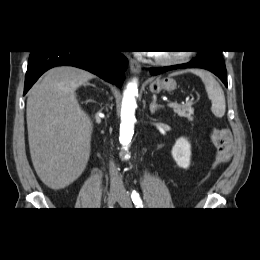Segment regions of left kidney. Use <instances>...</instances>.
<instances>
[{"label":"left kidney","instance_id":"5707ae66","mask_svg":"<svg viewBox=\"0 0 260 260\" xmlns=\"http://www.w3.org/2000/svg\"><path fill=\"white\" fill-rule=\"evenodd\" d=\"M172 156L180 168L187 169L190 165L191 145L184 137L177 139L172 148Z\"/></svg>","mask_w":260,"mask_h":260}]
</instances>
